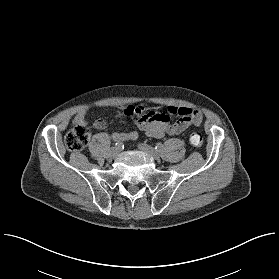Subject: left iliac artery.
<instances>
[{"label":"left iliac artery","instance_id":"1","mask_svg":"<svg viewBox=\"0 0 279 279\" xmlns=\"http://www.w3.org/2000/svg\"><path fill=\"white\" fill-rule=\"evenodd\" d=\"M155 148L157 151H162L164 149V145L162 143H157Z\"/></svg>","mask_w":279,"mask_h":279}]
</instances>
